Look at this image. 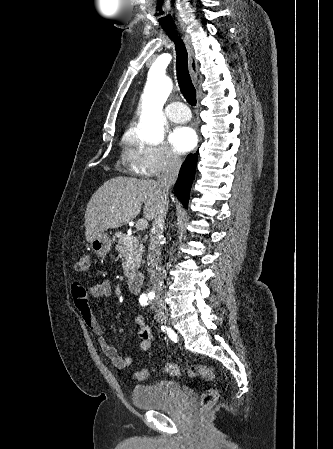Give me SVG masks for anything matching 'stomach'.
I'll return each instance as SVG.
<instances>
[{
	"label": "stomach",
	"instance_id": "obj_1",
	"mask_svg": "<svg viewBox=\"0 0 333 449\" xmlns=\"http://www.w3.org/2000/svg\"><path fill=\"white\" fill-rule=\"evenodd\" d=\"M112 241L106 232L98 234L91 242V248L97 256L106 255L111 249Z\"/></svg>",
	"mask_w": 333,
	"mask_h": 449
}]
</instances>
